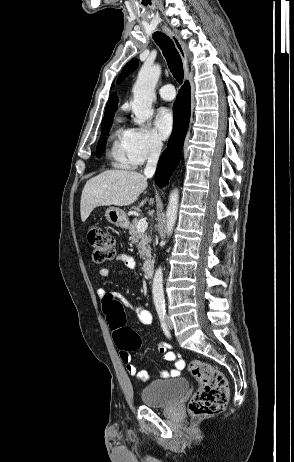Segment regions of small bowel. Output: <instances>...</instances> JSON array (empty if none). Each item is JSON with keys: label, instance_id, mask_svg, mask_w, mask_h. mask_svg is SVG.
<instances>
[{"label": "small bowel", "instance_id": "1", "mask_svg": "<svg viewBox=\"0 0 294 462\" xmlns=\"http://www.w3.org/2000/svg\"><path fill=\"white\" fill-rule=\"evenodd\" d=\"M117 260L122 262L123 265L127 269L132 270V269H134L136 267V261L134 260L133 257H131L129 255L120 254L117 257ZM99 274L101 276L108 277V276H110V271L107 268H101L99 270ZM106 293L107 292L104 289H99L97 291V294H98L99 297H103ZM125 305L136 313L137 321L141 325H150L151 324L152 315L146 308H144L141 305H134V304H132L131 302H129L127 300H125ZM170 349H171L170 345H168L167 343H164V342L160 343L159 346H158V351L161 354L164 355V358L167 361H171V362L174 363V367L170 371L162 370L160 372V376L163 377V378H166V377H169V376H172V377L179 376L182 373V371L184 370V368H185V361L180 357V355L175 354ZM120 358H121V361L125 364L127 372L131 376H134L138 380H141V381L148 380V378H149L148 373L146 371H143V370L140 371V370L137 369L136 365L133 364L132 361H131V355H130L129 352L120 351Z\"/></svg>", "mask_w": 294, "mask_h": 462}]
</instances>
